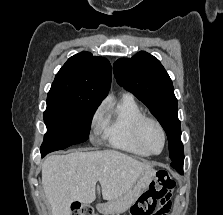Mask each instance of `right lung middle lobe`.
<instances>
[{"instance_id":"1","label":"right lung middle lobe","mask_w":223,"mask_h":215,"mask_svg":"<svg viewBox=\"0 0 223 215\" xmlns=\"http://www.w3.org/2000/svg\"><path fill=\"white\" fill-rule=\"evenodd\" d=\"M98 105L48 103L43 114L47 133L41 154L62 150L88 139L91 121Z\"/></svg>"}]
</instances>
